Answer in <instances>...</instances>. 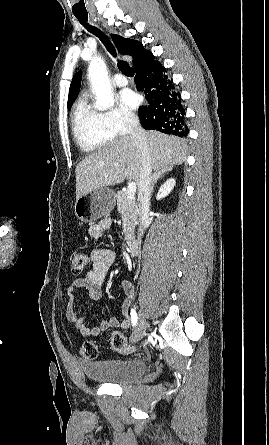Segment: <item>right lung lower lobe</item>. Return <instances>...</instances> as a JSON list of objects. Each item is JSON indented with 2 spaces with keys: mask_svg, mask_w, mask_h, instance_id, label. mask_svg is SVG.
<instances>
[{
  "mask_svg": "<svg viewBox=\"0 0 269 445\" xmlns=\"http://www.w3.org/2000/svg\"><path fill=\"white\" fill-rule=\"evenodd\" d=\"M138 91L146 94L148 104L139 107V119L145 129L186 137L185 110L172 78L154 56L133 69Z\"/></svg>",
  "mask_w": 269,
  "mask_h": 445,
  "instance_id": "obj_1",
  "label": "right lung lower lobe"
}]
</instances>
